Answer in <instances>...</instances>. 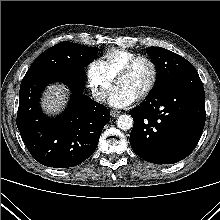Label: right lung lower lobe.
Segmentation results:
<instances>
[{
    "label": "right lung lower lobe",
    "instance_id": "1",
    "mask_svg": "<svg viewBox=\"0 0 220 220\" xmlns=\"http://www.w3.org/2000/svg\"><path fill=\"white\" fill-rule=\"evenodd\" d=\"M63 82L72 91L65 111L47 118L40 109L45 86ZM83 70L27 72L20 85L17 127L33 158L54 168L76 166L95 151L102 129L110 121V111L83 94Z\"/></svg>",
    "mask_w": 220,
    "mask_h": 220
}]
</instances>
